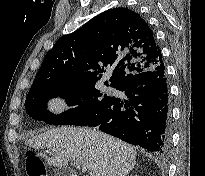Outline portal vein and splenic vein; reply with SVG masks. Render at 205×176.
<instances>
[{
  "mask_svg": "<svg viewBox=\"0 0 205 176\" xmlns=\"http://www.w3.org/2000/svg\"><path fill=\"white\" fill-rule=\"evenodd\" d=\"M74 165H75L78 169H81L83 172H86V171H87V167L84 166V165H81V164L76 163V162H74Z\"/></svg>",
  "mask_w": 205,
  "mask_h": 176,
  "instance_id": "1",
  "label": "portal vein and splenic vein"
}]
</instances>
